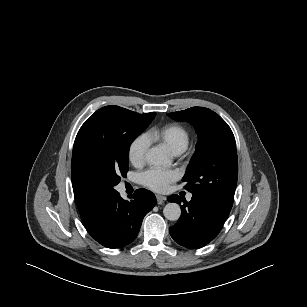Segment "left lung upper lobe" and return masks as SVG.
Masks as SVG:
<instances>
[{"label": "left lung upper lobe", "mask_w": 307, "mask_h": 307, "mask_svg": "<svg viewBox=\"0 0 307 307\" xmlns=\"http://www.w3.org/2000/svg\"><path fill=\"white\" fill-rule=\"evenodd\" d=\"M194 125L198 134L196 151L183 177L185 189L229 215L237 185L236 143L228 124L215 112L192 107L167 114Z\"/></svg>", "instance_id": "left-lung-upper-lobe-1"}]
</instances>
